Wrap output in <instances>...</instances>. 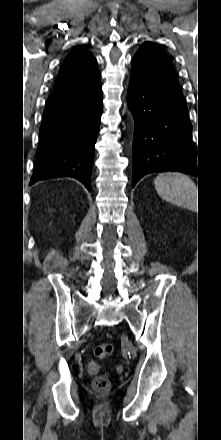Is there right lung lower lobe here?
<instances>
[{
	"mask_svg": "<svg viewBox=\"0 0 221 440\" xmlns=\"http://www.w3.org/2000/svg\"><path fill=\"white\" fill-rule=\"evenodd\" d=\"M102 114L100 79L71 89L54 90L46 104L37 163L30 184L55 177H73L91 191L95 143Z\"/></svg>",
	"mask_w": 221,
	"mask_h": 440,
	"instance_id": "1",
	"label": "right lung lower lobe"
}]
</instances>
